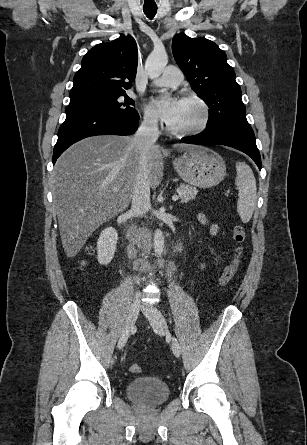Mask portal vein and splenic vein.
Wrapping results in <instances>:
<instances>
[{
    "mask_svg": "<svg viewBox=\"0 0 307 445\" xmlns=\"http://www.w3.org/2000/svg\"><path fill=\"white\" fill-rule=\"evenodd\" d=\"M114 190H118V188H114ZM179 196L178 194H173L172 200H178Z\"/></svg>",
    "mask_w": 307,
    "mask_h": 445,
    "instance_id": "portal-vein-and-splenic-vein-1",
    "label": "portal vein and splenic vein"
}]
</instances>
